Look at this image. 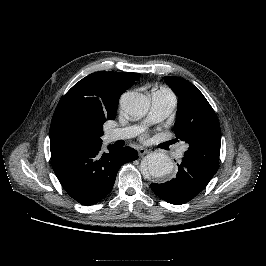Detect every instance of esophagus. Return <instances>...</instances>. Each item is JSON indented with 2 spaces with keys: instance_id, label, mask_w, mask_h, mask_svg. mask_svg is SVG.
Listing matches in <instances>:
<instances>
[{
  "instance_id": "obj_1",
  "label": "esophagus",
  "mask_w": 266,
  "mask_h": 266,
  "mask_svg": "<svg viewBox=\"0 0 266 266\" xmlns=\"http://www.w3.org/2000/svg\"><path fill=\"white\" fill-rule=\"evenodd\" d=\"M147 153H149V150H148V149H145V148H143V147L138 148V154H139L140 156H143V155H145V154H147Z\"/></svg>"
}]
</instances>
